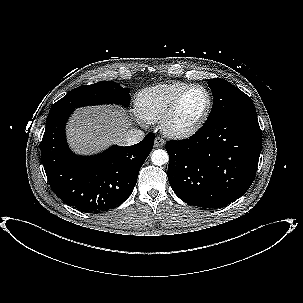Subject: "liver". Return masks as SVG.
I'll list each match as a JSON object with an SVG mask.
<instances>
[{
	"label": "liver",
	"instance_id": "1",
	"mask_svg": "<svg viewBox=\"0 0 303 303\" xmlns=\"http://www.w3.org/2000/svg\"><path fill=\"white\" fill-rule=\"evenodd\" d=\"M130 125L128 114L119 107H84L69 120L67 139L76 153H95L111 144H122L121 135Z\"/></svg>",
	"mask_w": 303,
	"mask_h": 303
}]
</instances>
